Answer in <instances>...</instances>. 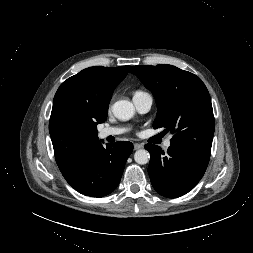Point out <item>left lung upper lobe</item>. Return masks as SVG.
Returning a JSON list of instances; mask_svg holds the SVG:
<instances>
[{
    "label": "left lung upper lobe",
    "mask_w": 253,
    "mask_h": 253,
    "mask_svg": "<svg viewBox=\"0 0 253 253\" xmlns=\"http://www.w3.org/2000/svg\"><path fill=\"white\" fill-rule=\"evenodd\" d=\"M154 95L157 103L155 129L164 127L174 134L171 146L210 158L215 123L209 92L196 75L175 66H132Z\"/></svg>",
    "instance_id": "left-lung-upper-lobe-1"
}]
</instances>
